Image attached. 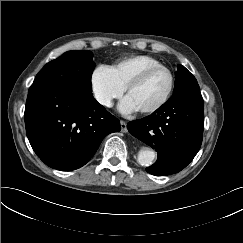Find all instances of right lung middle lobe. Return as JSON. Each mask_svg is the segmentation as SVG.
<instances>
[{
	"mask_svg": "<svg viewBox=\"0 0 243 243\" xmlns=\"http://www.w3.org/2000/svg\"><path fill=\"white\" fill-rule=\"evenodd\" d=\"M92 57L93 54L87 50L68 51L46 64L34 82L45 81L92 90L91 76L95 68Z\"/></svg>",
	"mask_w": 243,
	"mask_h": 243,
	"instance_id": "right-lung-middle-lobe-1",
	"label": "right lung middle lobe"
}]
</instances>
